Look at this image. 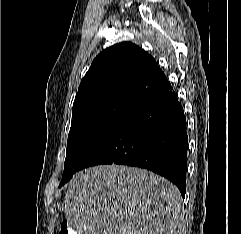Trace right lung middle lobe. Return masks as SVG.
<instances>
[{"instance_id": "right-lung-middle-lobe-1", "label": "right lung middle lobe", "mask_w": 241, "mask_h": 234, "mask_svg": "<svg viewBox=\"0 0 241 234\" xmlns=\"http://www.w3.org/2000/svg\"><path fill=\"white\" fill-rule=\"evenodd\" d=\"M136 104L110 101L90 105L72 112L64 172L59 187L68 182L92 148L124 119Z\"/></svg>"}]
</instances>
